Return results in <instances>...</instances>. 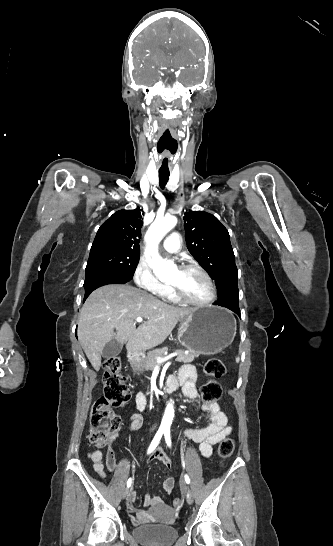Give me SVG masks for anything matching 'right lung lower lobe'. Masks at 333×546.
Wrapping results in <instances>:
<instances>
[{
	"label": "right lung lower lobe",
	"instance_id": "right-lung-lower-lobe-1",
	"mask_svg": "<svg viewBox=\"0 0 333 546\" xmlns=\"http://www.w3.org/2000/svg\"><path fill=\"white\" fill-rule=\"evenodd\" d=\"M131 278L120 275L114 272L105 271V270H90L85 273V296L84 300L90 295V293L107 284H125L129 282Z\"/></svg>",
	"mask_w": 333,
	"mask_h": 546
}]
</instances>
